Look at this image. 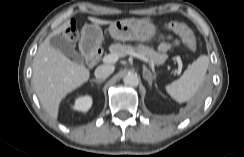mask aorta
<instances>
[{"label":"aorta","instance_id":"1","mask_svg":"<svg viewBox=\"0 0 244 157\" xmlns=\"http://www.w3.org/2000/svg\"><path fill=\"white\" fill-rule=\"evenodd\" d=\"M124 83L127 86L137 87L139 84V79L136 74L130 73L124 77Z\"/></svg>","mask_w":244,"mask_h":157}]
</instances>
